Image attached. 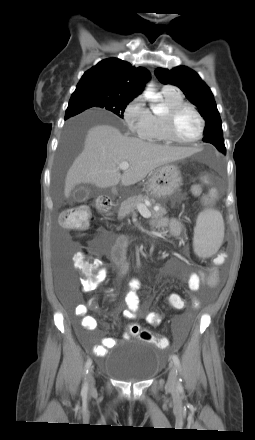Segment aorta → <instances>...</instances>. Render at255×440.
<instances>
[{
    "label": "aorta",
    "mask_w": 255,
    "mask_h": 440,
    "mask_svg": "<svg viewBox=\"0 0 255 440\" xmlns=\"http://www.w3.org/2000/svg\"><path fill=\"white\" fill-rule=\"evenodd\" d=\"M151 87H152L151 84H149V85L147 86L146 90L144 91V96H145L146 99L154 100V99H156V96H155V93L153 92V90H152ZM153 112H154V113H158V112H159V109H158L157 107H154V108H153Z\"/></svg>",
    "instance_id": "1"
}]
</instances>
